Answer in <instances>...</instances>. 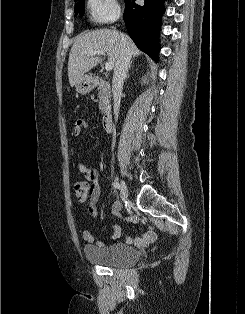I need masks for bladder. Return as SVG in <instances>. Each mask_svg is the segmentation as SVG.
<instances>
[{
	"label": "bladder",
	"mask_w": 245,
	"mask_h": 314,
	"mask_svg": "<svg viewBox=\"0 0 245 314\" xmlns=\"http://www.w3.org/2000/svg\"><path fill=\"white\" fill-rule=\"evenodd\" d=\"M87 261L106 266H128L138 260V252L122 243H112L102 247L87 245L84 248Z\"/></svg>",
	"instance_id": "31cf9c89"
}]
</instances>
